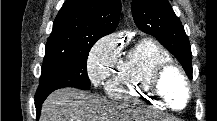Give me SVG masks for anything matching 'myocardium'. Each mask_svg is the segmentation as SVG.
Returning <instances> with one entry per match:
<instances>
[{"mask_svg":"<svg viewBox=\"0 0 217 121\" xmlns=\"http://www.w3.org/2000/svg\"><path fill=\"white\" fill-rule=\"evenodd\" d=\"M176 74L180 77V79L183 81L185 92H186V100L184 104L181 107L174 106L171 101L166 97L162 90V82L163 80L169 75V74ZM150 89L152 92L153 97L161 103L163 106L169 108L173 111H182L184 110L187 105L189 104L191 98H192V90H191V84L190 81L185 74V72L182 70V68L178 65H176L173 62H168L162 65H159L154 71L149 81Z\"/></svg>","mask_w":217,"mask_h":121,"instance_id":"obj_1","label":"myocardium"}]
</instances>
